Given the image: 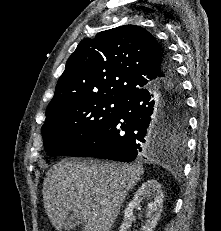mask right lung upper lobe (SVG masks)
Masks as SVG:
<instances>
[{"label": "right lung upper lobe", "mask_w": 221, "mask_h": 231, "mask_svg": "<svg viewBox=\"0 0 221 231\" xmlns=\"http://www.w3.org/2000/svg\"><path fill=\"white\" fill-rule=\"evenodd\" d=\"M162 48L137 25L102 31L82 40L60 76L46 116L71 101L91 96L127 98L162 79Z\"/></svg>", "instance_id": "right-lung-upper-lobe-1"}]
</instances>
